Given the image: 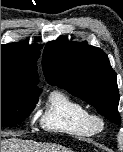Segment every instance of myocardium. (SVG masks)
<instances>
[{
	"instance_id": "obj_1",
	"label": "myocardium",
	"mask_w": 123,
	"mask_h": 152,
	"mask_svg": "<svg viewBox=\"0 0 123 152\" xmlns=\"http://www.w3.org/2000/svg\"><path fill=\"white\" fill-rule=\"evenodd\" d=\"M88 122L91 128L94 130V132H99L104 128V120L101 116L97 114L90 113L88 117Z\"/></svg>"
}]
</instances>
